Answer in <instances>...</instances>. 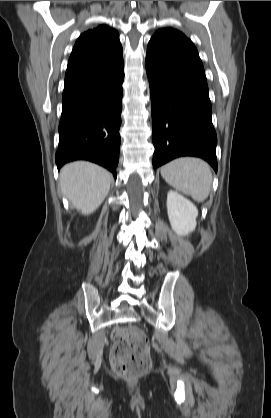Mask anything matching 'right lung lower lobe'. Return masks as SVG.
<instances>
[{
  "label": "right lung lower lobe",
  "instance_id": "1",
  "mask_svg": "<svg viewBox=\"0 0 271 418\" xmlns=\"http://www.w3.org/2000/svg\"><path fill=\"white\" fill-rule=\"evenodd\" d=\"M124 62L93 84L62 98L59 146L60 169L73 160H89L116 178L119 160Z\"/></svg>",
  "mask_w": 271,
  "mask_h": 418
}]
</instances>
